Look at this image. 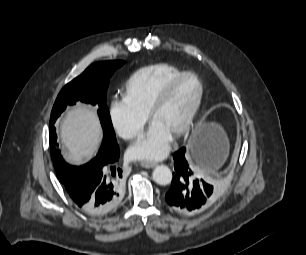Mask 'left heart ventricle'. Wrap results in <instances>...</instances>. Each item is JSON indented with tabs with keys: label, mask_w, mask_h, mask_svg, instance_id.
Returning a JSON list of instances; mask_svg holds the SVG:
<instances>
[{
	"label": "left heart ventricle",
	"mask_w": 306,
	"mask_h": 255,
	"mask_svg": "<svg viewBox=\"0 0 306 255\" xmlns=\"http://www.w3.org/2000/svg\"><path fill=\"white\" fill-rule=\"evenodd\" d=\"M199 87L194 78H186L172 92L165 104L154 115L155 122L171 132L180 127L193 106Z\"/></svg>",
	"instance_id": "b2bd125f"
}]
</instances>
